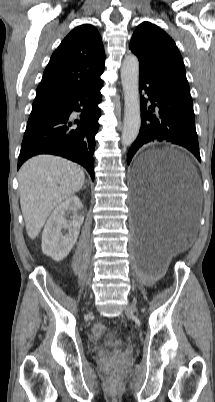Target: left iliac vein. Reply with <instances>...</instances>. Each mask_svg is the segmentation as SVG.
I'll use <instances>...</instances> for the list:
<instances>
[{
	"instance_id": "left-iliac-vein-1",
	"label": "left iliac vein",
	"mask_w": 215,
	"mask_h": 402,
	"mask_svg": "<svg viewBox=\"0 0 215 402\" xmlns=\"http://www.w3.org/2000/svg\"><path fill=\"white\" fill-rule=\"evenodd\" d=\"M136 310H137L136 304H134V303L128 305V307L126 308V311L130 312V313L135 312Z\"/></svg>"
}]
</instances>
